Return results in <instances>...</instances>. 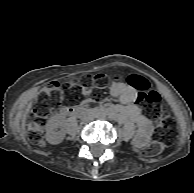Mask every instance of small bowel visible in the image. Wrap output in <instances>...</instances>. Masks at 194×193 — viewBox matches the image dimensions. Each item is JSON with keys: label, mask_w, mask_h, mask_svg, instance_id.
Returning a JSON list of instances; mask_svg holds the SVG:
<instances>
[{"label": "small bowel", "mask_w": 194, "mask_h": 193, "mask_svg": "<svg viewBox=\"0 0 194 193\" xmlns=\"http://www.w3.org/2000/svg\"><path fill=\"white\" fill-rule=\"evenodd\" d=\"M110 93L118 98L122 106L116 107L118 120L121 122L131 121L137 125L135 142L142 146L147 143L152 134V124L137 106V91L128 83L113 81L110 85Z\"/></svg>", "instance_id": "1"}]
</instances>
